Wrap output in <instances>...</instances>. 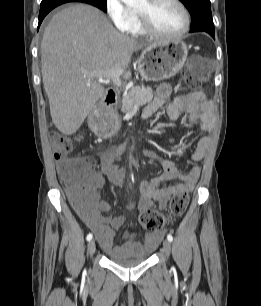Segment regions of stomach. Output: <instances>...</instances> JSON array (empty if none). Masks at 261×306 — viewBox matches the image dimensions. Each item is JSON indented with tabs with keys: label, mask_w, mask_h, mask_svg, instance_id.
<instances>
[{
	"label": "stomach",
	"mask_w": 261,
	"mask_h": 306,
	"mask_svg": "<svg viewBox=\"0 0 261 306\" xmlns=\"http://www.w3.org/2000/svg\"><path fill=\"white\" fill-rule=\"evenodd\" d=\"M188 55L187 45L178 39L162 40L146 47L138 64V71L146 81H161L173 77L184 66ZM88 123L92 131L103 137H108L118 127L115 120L106 121L105 116L93 111Z\"/></svg>",
	"instance_id": "obj_1"
}]
</instances>
